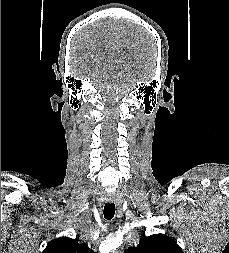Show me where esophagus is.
<instances>
[{"mask_svg":"<svg viewBox=\"0 0 229 253\" xmlns=\"http://www.w3.org/2000/svg\"><path fill=\"white\" fill-rule=\"evenodd\" d=\"M105 199L107 203H112L115 201V198L113 196H107Z\"/></svg>","mask_w":229,"mask_h":253,"instance_id":"1","label":"esophagus"}]
</instances>
